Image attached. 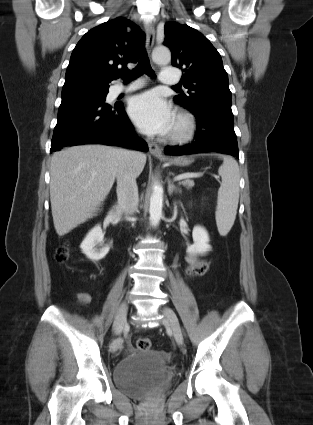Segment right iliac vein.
Segmentation results:
<instances>
[{
	"label": "right iliac vein",
	"mask_w": 313,
	"mask_h": 425,
	"mask_svg": "<svg viewBox=\"0 0 313 425\" xmlns=\"http://www.w3.org/2000/svg\"><path fill=\"white\" fill-rule=\"evenodd\" d=\"M128 304L126 301H123L117 311V314L113 323V331L115 334H118L122 331L124 325L126 324Z\"/></svg>",
	"instance_id": "63e3f726"
}]
</instances>
